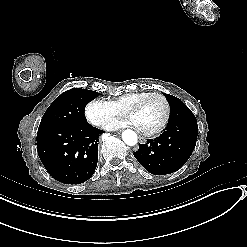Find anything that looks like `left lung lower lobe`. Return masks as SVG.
Masks as SVG:
<instances>
[{
  "label": "left lung lower lobe",
  "instance_id": "1",
  "mask_svg": "<svg viewBox=\"0 0 247 247\" xmlns=\"http://www.w3.org/2000/svg\"><path fill=\"white\" fill-rule=\"evenodd\" d=\"M197 121L168 124L155 139L140 144L135 158L148 172L165 175L179 170L191 156L197 141Z\"/></svg>",
  "mask_w": 247,
  "mask_h": 247
}]
</instances>
